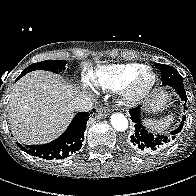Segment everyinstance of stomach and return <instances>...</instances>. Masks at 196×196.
<instances>
[{
  "mask_svg": "<svg viewBox=\"0 0 196 196\" xmlns=\"http://www.w3.org/2000/svg\"><path fill=\"white\" fill-rule=\"evenodd\" d=\"M168 102V95L163 90H156L147 100V110L152 112L162 111Z\"/></svg>",
  "mask_w": 196,
  "mask_h": 196,
  "instance_id": "obj_1",
  "label": "stomach"
}]
</instances>
